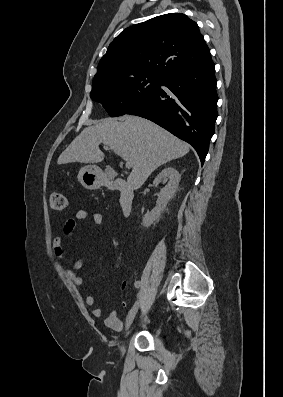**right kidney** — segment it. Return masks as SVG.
I'll list each match as a JSON object with an SVG mask.
<instances>
[{
  "label": "right kidney",
  "mask_w": 283,
  "mask_h": 397,
  "mask_svg": "<svg viewBox=\"0 0 283 397\" xmlns=\"http://www.w3.org/2000/svg\"><path fill=\"white\" fill-rule=\"evenodd\" d=\"M179 172L173 167L164 168L154 179L153 184L157 186L159 183L163 182L167 184L165 187L158 193V199L156 202V206L152 209L151 212L147 213L143 217L142 225L146 228L150 227L155 221H157L164 211L167 203L175 194L179 181H180Z\"/></svg>",
  "instance_id": "1"
}]
</instances>
